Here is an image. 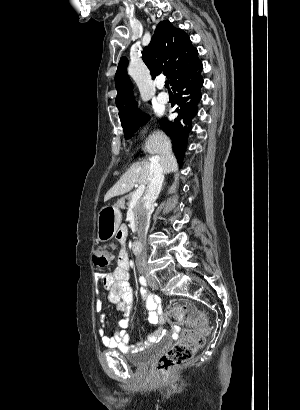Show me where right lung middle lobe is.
I'll return each mask as SVG.
<instances>
[{"mask_svg":"<svg viewBox=\"0 0 300 410\" xmlns=\"http://www.w3.org/2000/svg\"><path fill=\"white\" fill-rule=\"evenodd\" d=\"M149 119L150 117L148 115L142 114L141 111H139L132 119L121 123L125 138L131 137L133 133Z\"/></svg>","mask_w":300,"mask_h":410,"instance_id":"obj_1","label":"right lung middle lobe"}]
</instances>
